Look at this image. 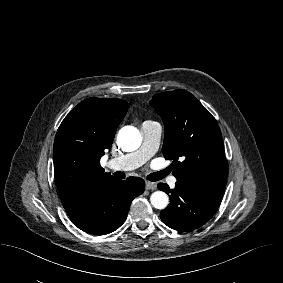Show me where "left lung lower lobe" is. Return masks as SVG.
<instances>
[{
    "instance_id": "left-lung-lower-lobe-1",
    "label": "left lung lower lobe",
    "mask_w": 283,
    "mask_h": 283,
    "mask_svg": "<svg viewBox=\"0 0 283 283\" xmlns=\"http://www.w3.org/2000/svg\"><path fill=\"white\" fill-rule=\"evenodd\" d=\"M158 188L170 197V204L160 213L161 219L178 231H191L204 225L222 201V196L207 194L180 180H177L174 189L162 183L158 184Z\"/></svg>"
}]
</instances>
